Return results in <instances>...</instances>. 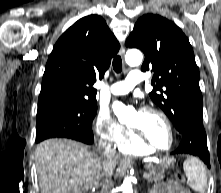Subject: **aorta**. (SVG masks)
<instances>
[{
    "label": "aorta",
    "mask_w": 221,
    "mask_h": 193,
    "mask_svg": "<svg viewBox=\"0 0 221 193\" xmlns=\"http://www.w3.org/2000/svg\"><path fill=\"white\" fill-rule=\"evenodd\" d=\"M126 63L129 66L135 67L142 63L143 55L137 49L127 51L125 55ZM114 114L118 117L119 121H123L133 111L131 107L125 106L122 102L114 101L112 104ZM122 193H133L131 177H125L122 183Z\"/></svg>",
    "instance_id": "obj_1"
}]
</instances>
